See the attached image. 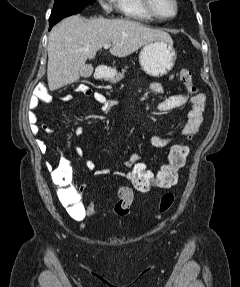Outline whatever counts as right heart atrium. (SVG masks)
<instances>
[{"label": "right heart atrium", "mask_w": 240, "mask_h": 287, "mask_svg": "<svg viewBox=\"0 0 240 287\" xmlns=\"http://www.w3.org/2000/svg\"><path fill=\"white\" fill-rule=\"evenodd\" d=\"M98 2L107 12H111L116 4V0H98Z\"/></svg>", "instance_id": "obj_1"}]
</instances>
